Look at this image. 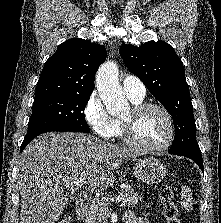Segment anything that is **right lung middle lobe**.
I'll list each match as a JSON object with an SVG mask.
<instances>
[{"label":"right lung middle lobe","instance_id":"obj_1","mask_svg":"<svg viewBox=\"0 0 221 223\" xmlns=\"http://www.w3.org/2000/svg\"><path fill=\"white\" fill-rule=\"evenodd\" d=\"M90 94H71L34 99L25 137L49 131L90 132L84 110Z\"/></svg>","mask_w":221,"mask_h":223}]
</instances>
